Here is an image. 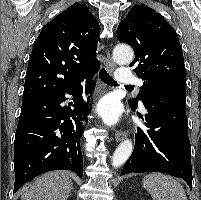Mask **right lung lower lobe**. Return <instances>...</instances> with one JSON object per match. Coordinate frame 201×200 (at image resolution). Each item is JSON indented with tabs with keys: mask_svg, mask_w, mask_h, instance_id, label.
<instances>
[{
	"mask_svg": "<svg viewBox=\"0 0 201 200\" xmlns=\"http://www.w3.org/2000/svg\"><path fill=\"white\" fill-rule=\"evenodd\" d=\"M92 75L86 78V93L90 92ZM65 93L74 96V109L60 106ZM89 102V97L87 102L82 97L81 84L22 102L14 143L13 193L37 175L51 170H71L78 177L83 176L81 121L90 111Z\"/></svg>",
	"mask_w": 201,
	"mask_h": 200,
	"instance_id": "right-lung-lower-lobe-1",
	"label": "right lung lower lobe"
}]
</instances>
